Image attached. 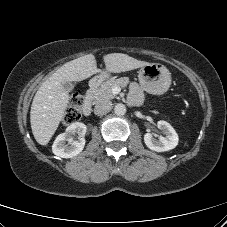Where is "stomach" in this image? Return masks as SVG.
I'll return each instance as SVG.
<instances>
[{"mask_svg":"<svg viewBox=\"0 0 227 227\" xmlns=\"http://www.w3.org/2000/svg\"><path fill=\"white\" fill-rule=\"evenodd\" d=\"M106 74L101 73L94 80H103ZM141 87L148 93L162 95L170 87V72L161 64L150 63L141 67L138 74Z\"/></svg>","mask_w":227,"mask_h":227,"instance_id":"1","label":"stomach"}]
</instances>
